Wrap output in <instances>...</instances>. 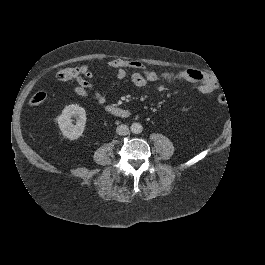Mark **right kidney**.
<instances>
[{"mask_svg": "<svg viewBox=\"0 0 265 265\" xmlns=\"http://www.w3.org/2000/svg\"><path fill=\"white\" fill-rule=\"evenodd\" d=\"M73 116L77 118L76 125L72 124L71 117ZM58 124L64 137L69 138L70 140L79 138L82 135L86 124L85 109L77 104L66 106L63 109L62 114L58 117Z\"/></svg>", "mask_w": 265, "mask_h": 265, "instance_id": "right-kidney-1", "label": "right kidney"}]
</instances>
